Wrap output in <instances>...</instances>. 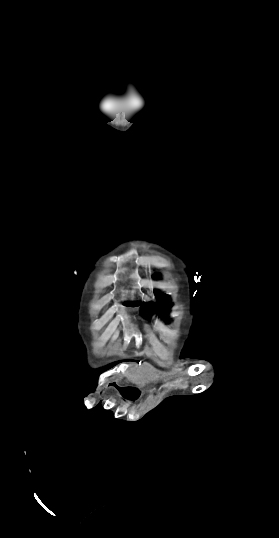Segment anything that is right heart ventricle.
<instances>
[{
	"label": "right heart ventricle",
	"instance_id": "e07e8e85",
	"mask_svg": "<svg viewBox=\"0 0 279 538\" xmlns=\"http://www.w3.org/2000/svg\"><path fill=\"white\" fill-rule=\"evenodd\" d=\"M101 221H95L94 226L95 228H99L101 226Z\"/></svg>",
	"mask_w": 279,
	"mask_h": 538
}]
</instances>
